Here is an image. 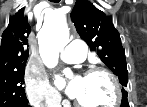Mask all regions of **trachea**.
I'll return each instance as SVG.
<instances>
[{
  "label": "trachea",
  "mask_w": 147,
  "mask_h": 107,
  "mask_svg": "<svg viewBox=\"0 0 147 107\" xmlns=\"http://www.w3.org/2000/svg\"><path fill=\"white\" fill-rule=\"evenodd\" d=\"M51 2L57 3V2H59V0H52Z\"/></svg>",
  "instance_id": "3493384b"
}]
</instances>
